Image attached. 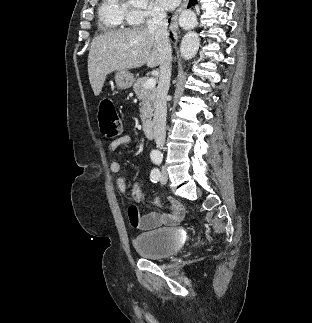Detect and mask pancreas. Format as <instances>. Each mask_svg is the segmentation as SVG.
<instances>
[{
    "label": "pancreas",
    "mask_w": 312,
    "mask_h": 323,
    "mask_svg": "<svg viewBox=\"0 0 312 323\" xmlns=\"http://www.w3.org/2000/svg\"><path fill=\"white\" fill-rule=\"evenodd\" d=\"M147 80L149 78H138L133 86V92L141 100L139 110L142 122H151L156 100V88H147V90H144V84Z\"/></svg>",
    "instance_id": "obj_1"
}]
</instances>
